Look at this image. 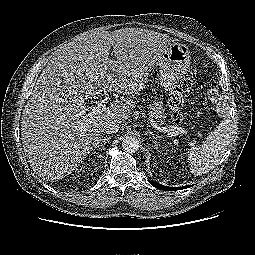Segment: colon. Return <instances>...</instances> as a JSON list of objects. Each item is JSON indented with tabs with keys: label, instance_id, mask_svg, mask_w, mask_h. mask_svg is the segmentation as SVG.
I'll use <instances>...</instances> for the list:
<instances>
[{
	"label": "colon",
	"instance_id": "obj_1",
	"mask_svg": "<svg viewBox=\"0 0 255 255\" xmlns=\"http://www.w3.org/2000/svg\"><path fill=\"white\" fill-rule=\"evenodd\" d=\"M195 75V72L192 73V76L181 81L177 89L170 95L169 105L172 110V119L175 122H180L183 118V105H184V93L187 92L192 84L191 78ZM208 97L211 100H216L219 96V92L215 88H210L207 91Z\"/></svg>",
	"mask_w": 255,
	"mask_h": 255
}]
</instances>
